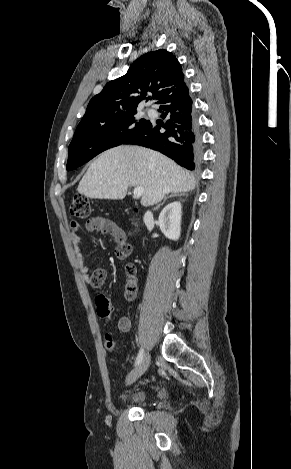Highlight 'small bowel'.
Listing matches in <instances>:
<instances>
[{"mask_svg":"<svg viewBox=\"0 0 291 469\" xmlns=\"http://www.w3.org/2000/svg\"><path fill=\"white\" fill-rule=\"evenodd\" d=\"M71 228L73 231L71 240L73 243V250L75 254L77 267L81 271L84 281L93 289H98L103 285L107 278V270L105 268L100 267L96 268L93 271H90L88 265L85 263L84 254L82 252L80 244V237L77 234V232L81 229V225L79 222L73 221L71 223ZM86 229L90 232L98 231L110 234L116 242V254L117 250L125 245L126 234L124 230L117 223L111 220L102 217H93L87 221ZM127 256L128 255H125L119 258L124 259ZM136 293L137 290L132 296L130 295L126 282L125 297L128 300H132L135 298ZM117 326L120 331L128 332L131 329V321L127 317H121L117 322Z\"/></svg>","mask_w":291,"mask_h":469,"instance_id":"c3829d8e","label":"small bowel"}]
</instances>
